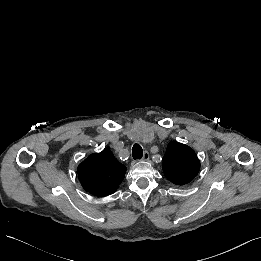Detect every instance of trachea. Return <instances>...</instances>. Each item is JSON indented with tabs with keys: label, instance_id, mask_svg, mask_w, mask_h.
<instances>
[{
	"label": "trachea",
	"instance_id": "3493384b",
	"mask_svg": "<svg viewBox=\"0 0 261 261\" xmlns=\"http://www.w3.org/2000/svg\"><path fill=\"white\" fill-rule=\"evenodd\" d=\"M133 159H141L143 157V149L139 144H134L132 148Z\"/></svg>",
	"mask_w": 261,
	"mask_h": 261
}]
</instances>
